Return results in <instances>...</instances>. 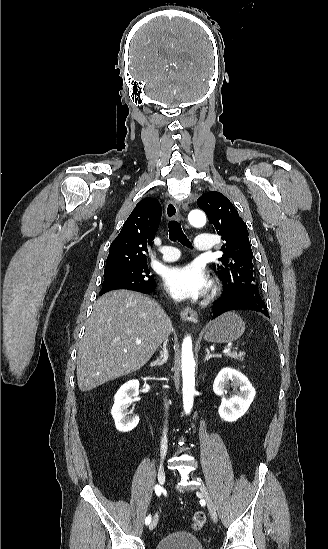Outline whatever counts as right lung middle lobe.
Here are the masks:
<instances>
[{"instance_id":"right-lung-middle-lobe-1","label":"right lung middle lobe","mask_w":328,"mask_h":549,"mask_svg":"<svg viewBox=\"0 0 328 549\" xmlns=\"http://www.w3.org/2000/svg\"><path fill=\"white\" fill-rule=\"evenodd\" d=\"M154 286V277L150 275L148 265L146 263L133 265L104 271L101 295L111 290L128 289L140 291L149 290Z\"/></svg>"}]
</instances>
